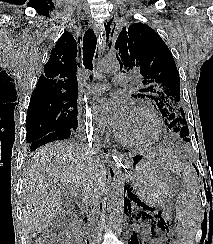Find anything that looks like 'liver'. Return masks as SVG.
<instances>
[{
	"mask_svg": "<svg viewBox=\"0 0 213 244\" xmlns=\"http://www.w3.org/2000/svg\"><path fill=\"white\" fill-rule=\"evenodd\" d=\"M136 153V152H135ZM135 153H129L128 157ZM158 160L167 156L149 153ZM106 163L103 153L71 141H56L37 149L23 173V224L27 239L51 225L61 211V192H80V199L96 201L106 191Z\"/></svg>",
	"mask_w": 213,
	"mask_h": 244,
	"instance_id": "6515ba94",
	"label": "liver"
}]
</instances>
